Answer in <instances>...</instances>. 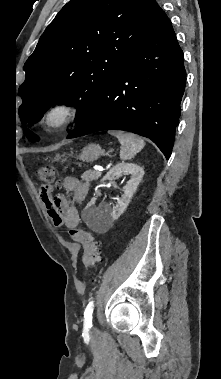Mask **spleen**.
Instances as JSON below:
<instances>
[{
    "label": "spleen",
    "instance_id": "3e777b00",
    "mask_svg": "<svg viewBox=\"0 0 221 379\" xmlns=\"http://www.w3.org/2000/svg\"><path fill=\"white\" fill-rule=\"evenodd\" d=\"M121 143L120 159L123 161L131 160L145 146V142L139 136L122 131L112 132Z\"/></svg>",
    "mask_w": 221,
    "mask_h": 379
}]
</instances>
